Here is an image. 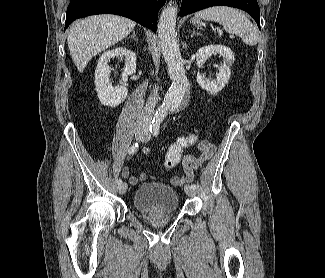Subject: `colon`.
Listing matches in <instances>:
<instances>
[{
  "label": "colon",
  "instance_id": "colon-1",
  "mask_svg": "<svg viewBox=\"0 0 325 278\" xmlns=\"http://www.w3.org/2000/svg\"><path fill=\"white\" fill-rule=\"evenodd\" d=\"M190 143L189 139H180L173 143L167 150L164 166L167 169L174 168L181 160L182 150Z\"/></svg>",
  "mask_w": 325,
  "mask_h": 278
}]
</instances>
